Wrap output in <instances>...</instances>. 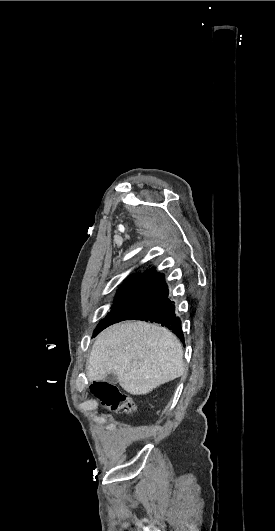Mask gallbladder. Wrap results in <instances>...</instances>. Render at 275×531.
Listing matches in <instances>:
<instances>
[{
    "label": "gallbladder",
    "instance_id": "gallbladder-1",
    "mask_svg": "<svg viewBox=\"0 0 275 531\" xmlns=\"http://www.w3.org/2000/svg\"><path fill=\"white\" fill-rule=\"evenodd\" d=\"M106 383H109V385H117L118 379L116 375H108L105 379Z\"/></svg>",
    "mask_w": 275,
    "mask_h": 531
}]
</instances>
